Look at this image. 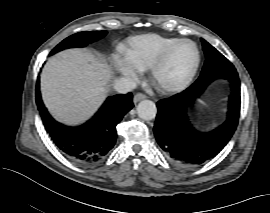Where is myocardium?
Segmentation results:
<instances>
[{"instance_id": "f54148a6", "label": "myocardium", "mask_w": 270, "mask_h": 213, "mask_svg": "<svg viewBox=\"0 0 270 213\" xmlns=\"http://www.w3.org/2000/svg\"><path fill=\"white\" fill-rule=\"evenodd\" d=\"M182 43H189L194 47L195 53H196V62L195 65L191 71V73L182 81L173 84V85H160L157 82V73L159 71V69L165 64V62L167 61V59L169 58L171 52L180 44ZM200 52L198 50L197 45L195 44V42L189 40V39H178L175 42H173L172 44H170L167 48H165L160 54L159 56L152 62L151 66H150V80L152 85L162 94H173V93H177V92H181L183 90H185L193 81V79L195 78L199 66H200Z\"/></svg>"}]
</instances>
